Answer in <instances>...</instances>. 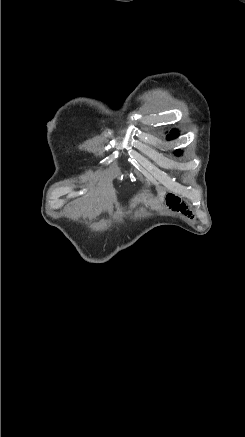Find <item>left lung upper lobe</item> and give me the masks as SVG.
<instances>
[{
	"instance_id": "obj_1",
	"label": "left lung upper lobe",
	"mask_w": 245,
	"mask_h": 437,
	"mask_svg": "<svg viewBox=\"0 0 245 437\" xmlns=\"http://www.w3.org/2000/svg\"><path fill=\"white\" fill-rule=\"evenodd\" d=\"M179 134H178V131L177 130H172V131H170V135H167V139L168 140H170V139H174L175 137H177ZM181 153V151H179V150H177V151H175V154L176 155H179Z\"/></svg>"
}]
</instances>
